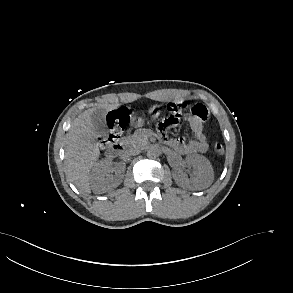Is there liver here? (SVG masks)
<instances>
[{
	"label": "liver",
	"mask_w": 293,
	"mask_h": 293,
	"mask_svg": "<svg viewBox=\"0 0 293 293\" xmlns=\"http://www.w3.org/2000/svg\"><path fill=\"white\" fill-rule=\"evenodd\" d=\"M97 108L82 112L66 135L65 164L68 177L84 193H90V170L100 156L91 116ZM107 109H110L109 107Z\"/></svg>",
	"instance_id": "6515ba94"
}]
</instances>
